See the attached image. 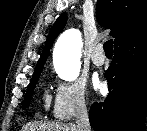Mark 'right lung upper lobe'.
<instances>
[{
    "mask_svg": "<svg viewBox=\"0 0 147 131\" xmlns=\"http://www.w3.org/2000/svg\"><path fill=\"white\" fill-rule=\"evenodd\" d=\"M96 16L101 26L111 29L114 47L130 40L147 29V0H98ZM63 13L52 26L35 73L42 70L51 45L66 24Z\"/></svg>",
    "mask_w": 147,
    "mask_h": 131,
    "instance_id": "cb5924a9",
    "label": "right lung upper lobe"
}]
</instances>
